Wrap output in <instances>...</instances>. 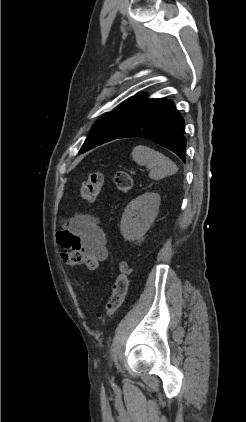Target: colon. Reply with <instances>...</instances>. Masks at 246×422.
<instances>
[{
    "label": "colon",
    "instance_id": "colon-1",
    "mask_svg": "<svg viewBox=\"0 0 246 422\" xmlns=\"http://www.w3.org/2000/svg\"><path fill=\"white\" fill-rule=\"evenodd\" d=\"M104 183L102 172L95 171L88 174L87 178L81 184L79 194L83 199L94 200L99 194ZM114 183L117 190L122 193H128L133 185L131 176L124 171L115 174ZM62 258L65 263L75 266L84 265L86 269L93 271L98 268L99 262L90 256L85 255L79 250L64 251ZM128 289L127 266L120 261L117 264V274L111 286V295L105 305L104 311L98 314L100 324H104L122 305Z\"/></svg>",
    "mask_w": 246,
    "mask_h": 422
}]
</instances>
